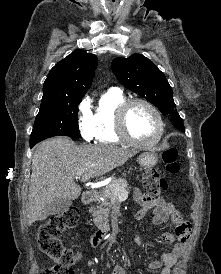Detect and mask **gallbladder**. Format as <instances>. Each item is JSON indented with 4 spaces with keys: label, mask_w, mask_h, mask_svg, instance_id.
Masks as SVG:
<instances>
[{
    "label": "gallbladder",
    "mask_w": 221,
    "mask_h": 274,
    "mask_svg": "<svg viewBox=\"0 0 221 274\" xmlns=\"http://www.w3.org/2000/svg\"><path fill=\"white\" fill-rule=\"evenodd\" d=\"M72 204L70 199L60 198L45 206L46 216L55 215L66 211Z\"/></svg>",
    "instance_id": "gallbladder-1"
}]
</instances>
